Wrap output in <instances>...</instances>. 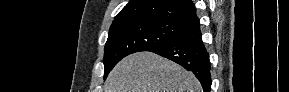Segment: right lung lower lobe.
<instances>
[{"instance_id":"obj_1","label":"right lung lower lobe","mask_w":289,"mask_h":92,"mask_svg":"<svg viewBox=\"0 0 289 92\" xmlns=\"http://www.w3.org/2000/svg\"><path fill=\"white\" fill-rule=\"evenodd\" d=\"M149 51L168 58L186 70L192 71L200 81L204 92L210 91L209 55L202 42L199 20L192 23L180 37Z\"/></svg>"}]
</instances>
